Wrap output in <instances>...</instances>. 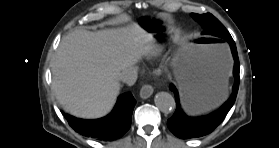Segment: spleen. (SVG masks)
<instances>
[{"mask_svg": "<svg viewBox=\"0 0 279 148\" xmlns=\"http://www.w3.org/2000/svg\"><path fill=\"white\" fill-rule=\"evenodd\" d=\"M221 53H222V51L219 54H221ZM222 95L225 96V97L227 95V80L225 81V83L222 87Z\"/></svg>", "mask_w": 279, "mask_h": 148, "instance_id": "1", "label": "spleen"}]
</instances>
